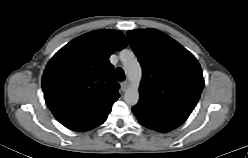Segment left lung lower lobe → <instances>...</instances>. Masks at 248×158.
Wrapping results in <instances>:
<instances>
[{"mask_svg": "<svg viewBox=\"0 0 248 158\" xmlns=\"http://www.w3.org/2000/svg\"><path fill=\"white\" fill-rule=\"evenodd\" d=\"M140 124H142L143 126L149 128V129H152L149 125H147L145 122L139 120Z\"/></svg>", "mask_w": 248, "mask_h": 158, "instance_id": "0a47b994", "label": "left lung lower lobe"}]
</instances>
